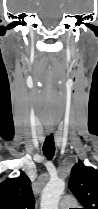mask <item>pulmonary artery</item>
Here are the masks:
<instances>
[{"instance_id":"1","label":"pulmonary artery","mask_w":98,"mask_h":209,"mask_svg":"<svg viewBox=\"0 0 98 209\" xmlns=\"http://www.w3.org/2000/svg\"><path fill=\"white\" fill-rule=\"evenodd\" d=\"M76 200L71 196H65L60 202L59 209H70L74 207Z\"/></svg>"}]
</instances>
